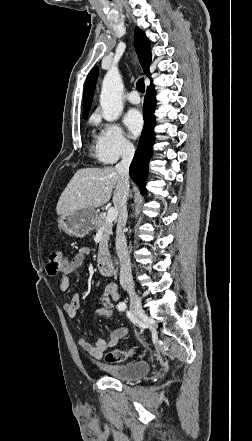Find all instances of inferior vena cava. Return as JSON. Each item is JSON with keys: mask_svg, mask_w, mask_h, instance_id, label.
<instances>
[{"mask_svg": "<svg viewBox=\"0 0 252 441\" xmlns=\"http://www.w3.org/2000/svg\"><path fill=\"white\" fill-rule=\"evenodd\" d=\"M135 149L128 145L124 148L122 160L115 166L116 171L120 174L123 195L119 204V217L116 229V252L120 261V283L122 287L130 292L133 291L134 283L131 273L130 257L127 249V241L124 228L127 222V199L129 195V167L134 156Z\"/></svg>", "mask_w": 252, "mask_h": 441, "instance_id": "inferior-vena-cava-1", "label": "inferior vena cava"}]
</instances>
